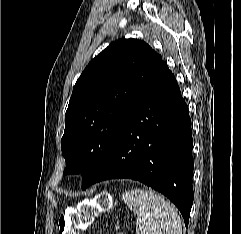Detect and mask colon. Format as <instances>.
Masks as SVG:
<instances>
[{
    "label": "colon",
    "instance_id": "5ec220e1",
    "mask_svg": "<svg viewBox=\"0 0 241 234\" xmlns=\"http://www.w3.org/2000/svg\"><path fill=\"white\" fill-rule=\"evenodd\" d=\"M110 196L102 193L79 208L65 211L59 218V234H81L95 217L111 207Z\"/></svg>",
    "mask_w": 241,
    "mask_h": 234
}]
</instances>
